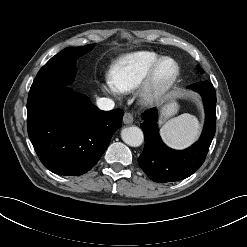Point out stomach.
I'll return each instance as SVG.
<instances>
[{"mask_svg":"<svg viewBox=\"0 0 247 247\" xmlns=\"http://www.w3.org/2000/svg\"><path fill=\"white\" fill-rule=\"evenodd\" d=\"M178 111V104L175 100L167 101L162 107V118L163 120L171 117L172 115L176 114Z\"/></svg>","mask_w":247,"mask_h":247,"instance_id":"1","label":"stomach"}]
</instances>
